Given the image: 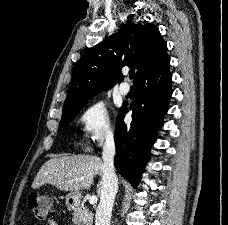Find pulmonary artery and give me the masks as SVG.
<instances>
[{
    "mask_svg": "<svg viewBox=\"0 0 228 225\" xmlns=\"http://www.w3.org/2000/svg\"><path fill=\"white\" fill-rule=\"evenodd\" d=\"M130 91V86L127 82H123L119 86V92L121 95L126 96Z\"/></svg>",
    "mask_w": 228,
    "mask_h": 225,
    "instance_id": "obj_1",
    "label": "pulmonary artery"
}]
</instances>
